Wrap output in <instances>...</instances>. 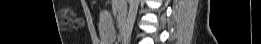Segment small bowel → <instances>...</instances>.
<instances>
[{
  "instance_id": "obj_1",
  "label": "small bowel",
  "mask_w": 261,
  "mask_h": 44,
  "mask_svg": "<svg viewBox=\"0 0 261 44\" xmlns=\"http://www.w3.org/2000/svg\"><path fill=\"white\" fill-rule=\"evenodd\" d=\"M117 10L118 11H120V10L125 11V4L123 2H119L118 5H117Z\"/></svg>"
}]
</instances>
